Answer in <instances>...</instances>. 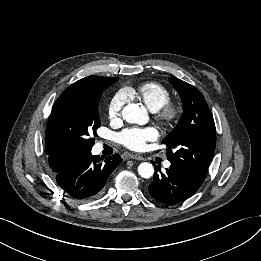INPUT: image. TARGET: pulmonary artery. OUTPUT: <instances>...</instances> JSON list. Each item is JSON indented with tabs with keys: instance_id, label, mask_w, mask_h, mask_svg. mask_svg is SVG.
I'll return each instance as SVG.
<instances>
[{
	"instance_id": "obj_1",
	"label": "pulmonary artery",
	"mask_w": 261,
	"mask_h": 261,
	"mask_svg": "<svg viewBox=\"0 0 261 261\" xmlns=\"http://www.w3.org/2000/svg\"><path fill=\"white\" fill-rule=\"evenodd\" d=\"M164 166L167 168L170 167V162H166Z\"/></svg>"
}]
</instances>
